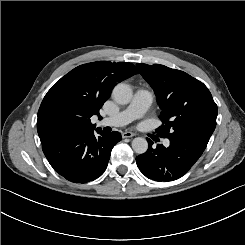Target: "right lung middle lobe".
I'll return each mask as SVG.
<instances>
[{
    "mask_svg": "<svg viewBox=\"0 0 245 245\" xmlns=\"http://www.w3.org/2000/svg\"><path fill=\"white\" fill-rule=\"evenodd\" d=\"M69 121L76 125V131H83L90 128L89 121H86L85 119L73 117L69 119Z\"/></svg>",
    "mask_w": 245,
    "mask_h": 245,
    "instance_id": "dd1d6c3e",
    "label": "right lung middle lobe"
}]
</instances>
